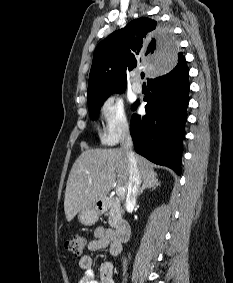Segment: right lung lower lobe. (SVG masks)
I'll return each instance as SVG.
<instances>
[{"label": "right lung lower lobe", "mask_w": 233, "mask_h": 283, "mask_svg": "<svg viewBox=\"0 0 233 283\" xmlns=\"http://www.w3.org/2000/svg\"><path fill=\"white\" fill-rule=\"evenodd\" d=\"M188 73L183 56L172 70H161V74L149 79L151 93L144 98L148 102L146 115L133 114L130 124L137 153L178 174L189 102ZM137 105L138 101L134 108Z\"/></svg>", "instance_id": "98d812e1"}]
</instances>
